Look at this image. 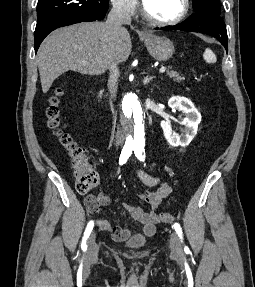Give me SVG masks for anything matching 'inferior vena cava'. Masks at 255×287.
Segmentation results:
<instances>
[{
	"label": "inferior vena cava",
	"mask_w": 255,
	"mask_h": 287,
	"mask_svg": "<svg viewBox=\"0 0 255 287\" xmlns=\"http://www.w3.org/2000/svg\"><path fill=\"white\" fill-rule=\"evenodd\" d=\"M106 24L112 28L113 34L123 32V30H125V28H122L123 24H131L130 6L125 0H116V2H113V8L108 14ZM109 70L110 78L108 80V88L112 94V98H115L119 76L118 60H116V58H113L112 62H110ZM115 138L117 145H123L125 134L120 128H117Z\"/></svg>",
	"instance_id": "1"
}]
</instances>
